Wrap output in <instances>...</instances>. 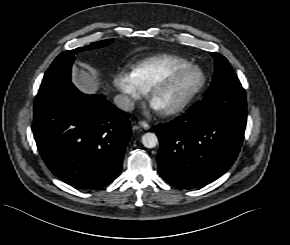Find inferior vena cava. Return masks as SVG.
<instances>
[{
    "instance_id": "1",
    "label": "inferior vena cava",
    "mask_w": 290,
    "mask_h": 245,
    "mask_svg": "<svg viewBox=\"0 0 290 245\" xmlns=\"http://www.w3.org/2000/svg\"><path fill=\"white\" fill-rule=\"evenodd\" d=\"M114 103L119 109L125 112H129L134 109V101L125 94L116 95L114 97Z\"/></svg>"
}]
</instances>
